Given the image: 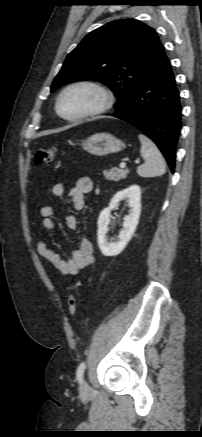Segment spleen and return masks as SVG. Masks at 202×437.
Wrapping results in <instances>:
<instances>
[{
	"label": "spleen",
	"instance_id": "3e777b00",
	"mask_svg": "<svg viewBox=\"0 0 202 437\" xmlns=\"http://www.w3.org/2000/svg\"><path fill=\"white\" fill-rule=\"evenodd\" d=\"M141 142V156L145 163L137 167V173L141 177H156L165 174L166 163L157 146L145 135L139 134Z\"/></svg>",
	"mask_w": 202,
	"mask_h": 437
}]
</instances>
